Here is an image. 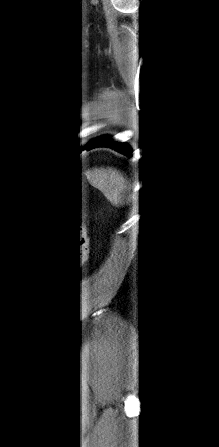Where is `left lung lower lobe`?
<instances>
[{
	"instance_id": "0a47b994",
	"label": "left lung lower lobe",
	"mask_w": 219,
	"mask_h": 447,
	"mask_svg": "<svg viewBox=\"0 0 219 447\" xmlns=\"http://www.w3.org/2000/svg\"><path fill=\"white\" fill-rule=\"evenodd\" d=\"M100 146L111 147V148H114L115 150H117L121 153H124L126 155H129V156L132 155V150L127 144L114 142L111 140V138L105 137V136H102V137H99V138H96V139L90 141L88 144H86L84 149H91V148L100 147Z\"/></svg>"
}]
</instances>
